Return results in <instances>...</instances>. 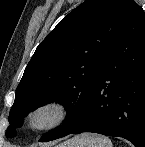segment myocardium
Segmentation results:
<instances>
[{
  "instance_id": "f54148a6",
  "label": "myocardium",
  "mask_w": 145,
  "mask_h": 147,
  "mask_svg": "<svg viewBox=\"0 0 145 147\" xmlns=\"http://www.w3.org/2000/svg\"><path fill=\"white\" fill-rule=\"evenodd\" d=\"M69 116L70 108L67 103L51 98L30 108L25 117V124L32 132H47L62 126Z\"/></svg>"
}]
</instances>
